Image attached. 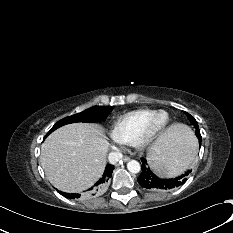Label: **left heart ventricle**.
Listing matches in <instances>:
<instances>
[{"label": "left heart ventricle", "mask_w": 233, "mask_h": 233, "mask_svg": "<svg viewBox=\"0 0 233 233\" xmlns=\"http://www.w3.org/2000/svg\"><path fill=\"white\" fill-rule=\"evenodd\" d=\"M163 121V117L161 116V117H159L158 119H157V124H160L161 122Z\"/></svg>", "instance_id": "1"}]
</instances>
